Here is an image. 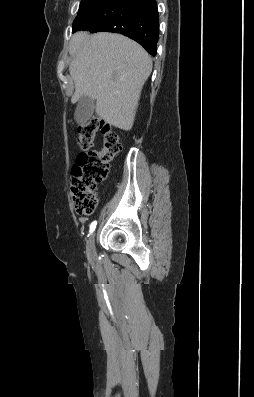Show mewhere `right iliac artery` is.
<instances>
[{
	"instance_id": "obj_1",
	"label": "right iliac artery",
	"mask_w": 254,
	"mask_h": 397,
	"mask_svg": "<svg viewBox=\"0 0 254 397\" xmlns=\"http://www.w3.org/2000/svg\"><path fill=\"white\" fill-rule=\"evenodd\" d=\"M96 225H97V221H93L91 223V225H90V233H92L95 230Z\"/></svg>"
}]
</instances>
